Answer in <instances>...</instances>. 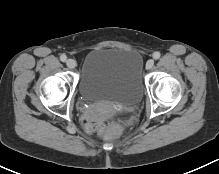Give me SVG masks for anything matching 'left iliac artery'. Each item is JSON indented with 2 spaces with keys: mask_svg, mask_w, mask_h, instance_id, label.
Wrapping results in <instances>:
<instances>
[{
  "mask_svg": "<svg viewBox=\"0 0 219 174\" xmlns=\"http://www.w3.org/2000/svg\"><path fill=\"white\" fill-rule=\"evenodd\" d=\"M160 56H161L160 52H154L153 53V58L156 59V60L159 59Z\"/></svg>",
  "mask_w": 219,
  "mask_h": 174,
  "instance_id": "1",
  "label": "left iliac artery"
}]
</instances>
